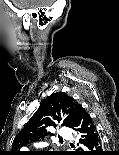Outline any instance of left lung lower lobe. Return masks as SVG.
Segmentation results:
<instances>
[{"mask_svg": "<svg viewBox=\"0 0 119 155\" xmlns=\"http://www.w3.org/2000/svg\"><path fill=\"white\" fill-rule=\"evenodd\" d=\"M74 130L79 132L82 151L79 155H103L102 145L96 126L86 110L78 105L74 119Z\"/></svg>", "mask_w": 119, "mask_h": 155, "instance_id": "left-lung-lower-lobe-1", "label": "left lung lower lobe"}]
</instances>
